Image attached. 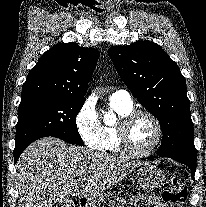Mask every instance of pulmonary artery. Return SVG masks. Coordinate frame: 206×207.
<instances>
[{
	"instance_id": "e3ab8cb5",
	"label": "pulmonary artery",
	"mask_w": 206,
	"mask_h": 207,
	"mask_svg": "<svg viewBox=\"0 0 206 207\" xmlns=\"http://www.w3.org/2000/svg\"><path fill=\"white\" fill-rule=\"evenodd\" d=\"M110 99L128 106L133 105L131 96L126 90H117L113 92Z\"/></svg>"
}]
</instances>
